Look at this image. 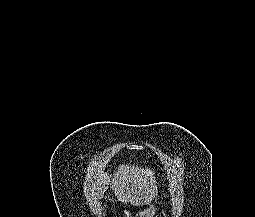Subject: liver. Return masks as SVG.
Listing matches in <instances>:
<instances>
[{
    "mask_svg": "<svg viewBox=\"0 0 255 217\" xmlns=\"http://www.w3.org/2000/svg\"><path fill=\"white\" fill-rule=\"evenodd\" d=\"M112 186L117 199L133 206L150 204L157 196L154 172L147 168L122 164L113 175L102 171H95L88 176V183L84 186L87 199L103 198L104 193Z\"/></svg>",
    "mask_w": 255,
    "mask_h": 217,
    "instance_id": "1",
    "label": "liver"
}]
</instances>
